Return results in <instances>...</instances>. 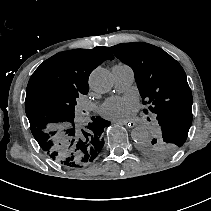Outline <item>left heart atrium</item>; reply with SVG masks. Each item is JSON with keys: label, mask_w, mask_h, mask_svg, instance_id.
Listing matches in <instances>:
<instances>
[{"label": "left heart atrium", "mask_w": 211, "mask_h": 211, "mask_svg": "<svg viewBox=\"0 0 211 211\" xmlns=\"http://www.w3.org/2000/svg\"><path fill=\"white\" fill-rule=\"evenodd\" d=\"M137 108L133 97H116L109 99L101 108V113L110 117H124Z\"/></svg>", "instance_id": "39dd6f15"}]
</instances>
